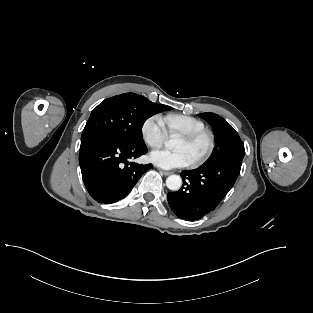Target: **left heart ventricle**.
I'll return each instance as SVG.
<instances>
[{
  "label": "left heart ventricle",
  "mask_w": 313,
  "mask_h": 313,
  "mask_svg": "<svg viewBox=\"0 0 313 313\" xmlns=\"http://www.w3.org/2000/svg\"><path fill=\"white\" fill-rule=\"evenodd\" d=\"M206 147H207L206 138H201L194 143H188L180 138L175 145V148L177 150L185 151L188 154L191 161H193L195 158L201 155L205 151Z\"/></svg>",
  "instance_id": "obj_1"
}]
</instances>
